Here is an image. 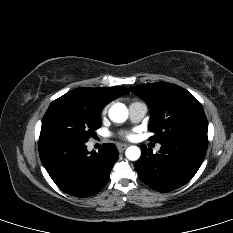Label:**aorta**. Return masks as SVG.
Masks as SVG:
<instances>
[{"mask_svg":"<svg viewBox=\"0 0 233 233\" xmlns=\"http://www.w3.org/2000/svg\"><path fill=\"white\" fill-rule=\"evenodd\" d=\"M109 118L116 123H123L128 118V109L122 103H115L109 109ZM126 158L131 161H136L140 158L141 150L137 146H130L125 151Z\"/></svg>","mask_w":233,"mask_h":233,"instance_id":"aorta-1","label":"aorta"}]
</instances>
